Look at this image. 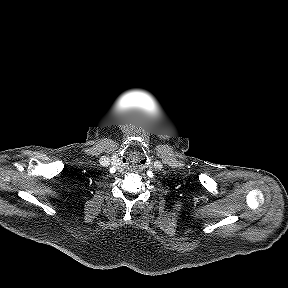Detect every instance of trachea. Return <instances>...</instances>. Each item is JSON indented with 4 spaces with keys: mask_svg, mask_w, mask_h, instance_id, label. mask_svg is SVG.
<instances>
[{
    "mask_svg": "<svg viewBox=\"0 0 288 288\" xmlns=\"http://www.w3.org/2000/svg\"><path fill=\"white\" fill-rule=\"evenodd\" d=\"M140 160V156L136 152H132L128 154V162L129 164H138Z\"/></svg>",
    "mask_w": 288,
    "mask_h": 288,
    "instance_id": "trachea-1",
    "label": "trachea"
}]
</instances>
